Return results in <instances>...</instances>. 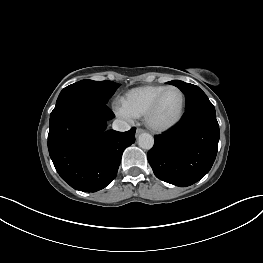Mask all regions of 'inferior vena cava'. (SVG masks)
I'll list each match as a JSON object with an SVG mask.
<instances>
[{
    "instance_id": "602c4592",
    "label": "inferior vena cava",
    "mask_w": 263,
    "mask_h": 263,
    "mask_svg": "<svg viewBox=\"0 0 263 263\" xmlns=\"http://www.w3.org/2000/svg\"><path fill=\"white\" fill-rule=\"evenodd\" d=\"M112 128L116 131L125 132L130 129V125L124 120L116 119L112 124Z\"/></svg>"
}]
</instances>
